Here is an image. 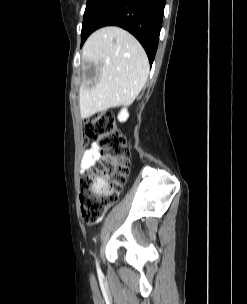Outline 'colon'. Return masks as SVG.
I'll return each mask as SVG.
<instances>
[{"label":"colon","mask_w":247,"mask_h":304,"mask_svg":"<svg viewBox=\"0 0 247 304\" xmlns=\"http://www.w3.org/2000/svg\"><path fill=\"white\" fill-rule=\"evenodd\" d=\"M90 140L98 144L101 158L80 179L81 212L87 223L95 222L117 201L130 165L126 138L111 112H97L85 121L83 144Z\"/></svg>","instance_id":"colon-1"}]
</instances>
